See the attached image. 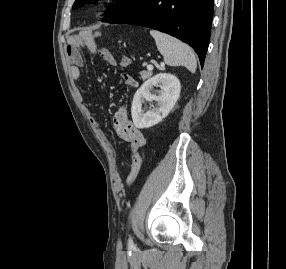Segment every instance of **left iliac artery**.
<instances>
[{
  "mask_svg": "<svg viewBox=\"0 0 286 269\" xmlns=\"http://www.w3.org/2000/svg\"><path fill=\"white\" fill-rule=\"evenodd\" d=\"M128 246L129 247H133L134 246V242H133L132 237H130L129 240H128Z\"/></svg>",
  "mask_w": 286,
  "mask_h": 269,
  "instance_id": "1",
  "label": "left iliac artery"
}]
</instances>
